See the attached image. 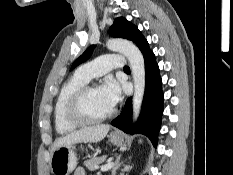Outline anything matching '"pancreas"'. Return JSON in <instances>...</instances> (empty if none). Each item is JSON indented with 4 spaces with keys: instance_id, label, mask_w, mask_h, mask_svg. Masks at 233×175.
Returning <instances> with one entry per match:
<instances>
[{
    "instance_id": "obj_1",
    "label": "pancreas",
    "mask_w": 233,
    "mask_h": 175,
    "mask_svg": "<svg viewBox=\"0 0 233 175\" xmlns=\"http://www.w3.org/2000/svg\"><path fill=\"white\" fill-rule=\"evenodd\" d=\"M106 160V156L102 157H93L90 160H86L84 162V166L88 168L89 170L93 171L99 168V164L104 162Z\"/></svg>"
}]
</instances>
